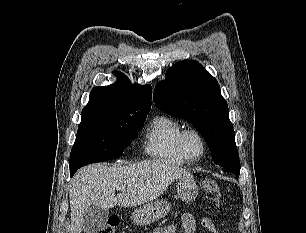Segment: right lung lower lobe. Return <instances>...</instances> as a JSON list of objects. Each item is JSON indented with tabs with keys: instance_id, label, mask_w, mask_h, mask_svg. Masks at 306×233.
<instances>
[{
	"instance_id": "98d812e1",
	"label": "right lung lower lobe",
	"mask_w": 306,
	"mask_h": 233,
	"mask_svg": "<svg viewBox=\"0 0 306 233\" xmlns=\"http://www.w3.org/2000/svg\"><path fill=\"white\" fill-rule=\"evenodd\" d=\"M75 172H76V171H75ZM75 172H70V175L73 176V174H74Z\"/></svg>"
}]
</instances>
